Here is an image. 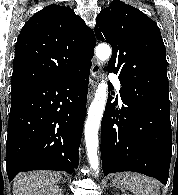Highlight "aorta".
<instances>
[{
	"mask_svg": "<svg viewBox=\"0 0 178 195\" xmlns=\"http://www.w3.org/2000/svg\"><path fill=\"white\" fill-rule=\"evenodd\" d=\"M112 50L109 45L102 43L96 48V56L100 61H107L111 56ZM108 95V85L102 80L98 84L95 97L88 111V117L85 123V143L87 149V156L91 168L98 172L99 159H98V130L100 127L101 119L105 109Z\"/></svg>",
	"mask_w": 178,
	"mask_h": 195,
	"instance_id": "1",
	"label": "aorta"
}]
</instances>
